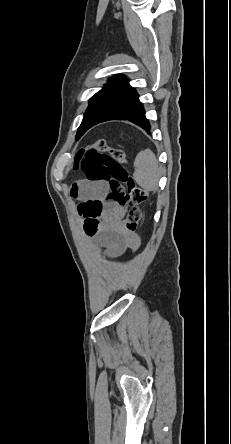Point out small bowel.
I'll list each match as a JSON object with an SVG mask.
<instances>
[{
    "instance_id": "obj_1",
    "label": "small bowel",
    "mask_w": 231,
    "mask_h": 444,
    "mask_svg": "<svg viewBox=\"0 0 231 444\" xmlns=\"http://www.w3.org/2000/svg\"><path fill=\"white\" fill-rule=\"evenodd\" d=\"M107 189L103 181H79L72 186L71 194L83 203H101L100 224L96 237L111 256L117 257L128 249L136 251L140 245V239L136 234L126 231L123 224L125 209L115 201L106 199Z\"/></svg>"
}]
</instances>
